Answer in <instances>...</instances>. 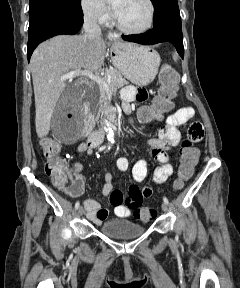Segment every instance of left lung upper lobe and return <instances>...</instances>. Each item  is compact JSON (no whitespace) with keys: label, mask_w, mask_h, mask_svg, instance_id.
<instances>
[{"label":"left lung upper lobe","mask_w":240,"mask_h":288,"mask_svg":"<svg viewBox=\"0 0 240 288\" xmlns=\"http://www.w3.org/2000/svg\"><path fill=\"white\" fill-rule=\"evenodd\" d=\"M155 8L154 26L166 22L181 23L177 0H151Z\"/></svg>","instance_id":"5c2ea615"}]
</instances>
